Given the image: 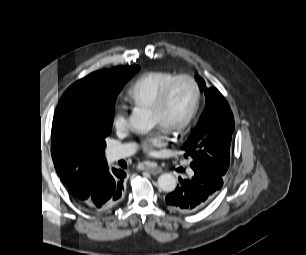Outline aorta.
Instances as JSON below:
<instances>
[{
	"instance_id": "762f6f07",
	"label": "aorta",
	"mask_w": 306,
	"mask_h": 255,
	"mask_svg": "<svg viewBox=\"0 0 306 255\" xmlns=\"http://www.w3.org/2000/svg\"><path fill=\"white\" fill-rule=\"evenodd\" d=\"M131 127L137 133H146L154 123L149 111L141 108H134L131 115ZM158 188L164 192H173L177 186V180L171 173H163L157 180Z\"/></svg>"
}]
</instances>
